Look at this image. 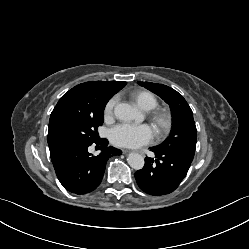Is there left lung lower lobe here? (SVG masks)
Wrapping results in <instances>:
<instances>
[{
  "instance_id": "0a47b994",
  "label": "left lung lower lobe",
  "mask_w": 249,
  "mask_h": 249,
  "mask_svg": "<svg viewBox=\"0 0 249 249\" xmlns=\"http://www.w3.org/2000/svg\"><path fill=\"white\" fill-rule=\"evenodd\" d=\"M155 159L145 158L143 169L135 173L138 186L154 196L173 192L186 176L194 155L177 151H162L152 147Z\"/></svg>"
}]
</instances>
